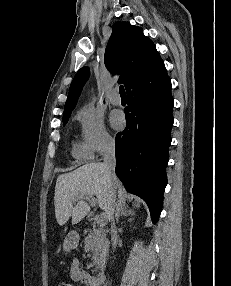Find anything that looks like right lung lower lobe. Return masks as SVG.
Here are the masks:
<instances>
[{
	"label": "right lung lower lobe",
	"mask_w": 231,
	"mask_h": 286,
	"mask_svg": "<svg viewBox=\"0 0 231 286\" xmlns=\"http://www.w3.org/2000/svg\"><path fill=\"white\" fill-rule=\"evenodd\" d=\"M126 128L116 135V174L126 190L147 203L158 221L167 184L166 165L173 126L171 80L166 70L127 88Z\"/></svg>",
	"instance_id": "obj_1"
}]
</instances>
